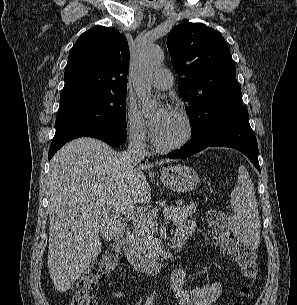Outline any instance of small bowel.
<instances>
[{"mask_svg":"<svg viewBox=\"0 0 297 305\" xmlns=\"http://www.w3.org/2000/svg\"><path fill=\"white\" fill-rule=\"evenodd\" d=\"M182 229H188L192 232L194 222L192 220L184 222L178 228V230ZM169 285L179 305H213L220 298L222 292L221 282L190 286L189 276L184 268H177L171 273ZM123 296V291L110 293V297L113 299H120Z\"/></svg>","mask_w":297,"mask_h":305,"instance_id":"obj_1","label":"small bowel"}]
</instances>
